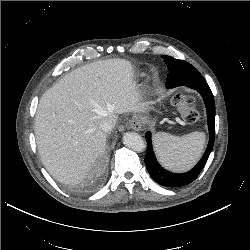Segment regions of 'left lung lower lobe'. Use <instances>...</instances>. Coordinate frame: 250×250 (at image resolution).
<instances>
[{
  "mask_svg": "<svg viewBox=\"0 0 250 250\" xmlns=\"http://www.w3.org/2000/svg\"><path fill=\"white\" fill-rule=\"evenodd\" d=\"M174 64L176 66L172 67L174 71L173 73L180 74L185 79H190L191 77V80H184L183 82H179L175 84V87L186 85L190 88L197 90L204 99L207 108L209 143L205 151V154L192 170L182 174H175L165 170L160 166V164L156 160L153 151L151 133L147 132L145 134V138L148 143L145 156V164L147 170L154 181L166 187H180L188 185L197 178V176L205 166L207 159L211 153L215 137V102L210 87L205 82L204 78L203 79L201 78L199 80L192 78V76L196 75L197 70L191 64L183 60H179ZM175 68H178L179 70H174Z\"/></svg>",
  "mask_w": 250,
  "mask_h": 250,
  "instance_id": "obj_1",
  "label": "left lung lower lobe"
}]
</instances>
